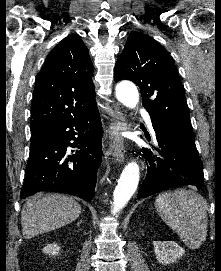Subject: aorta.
<instances>
[{
  "label": "aorta",
  "mask_w": 221,
  "mask_h": 271,
  "mask_svg": "<svg viewBox=\"0 0 221 271\" xmlns=\"http://www.w3.org/2000/svg\"><path fill=\"white\" fill-rule=\"evenodd\" d=\"M117 99L128 108H135L139 93L132 82L124 81L116 86ZM139 183V166L132 161L125 166L113 194L112 213L120 212L135 193Z\"/></svg>",
  "instance_id": "762f6f07"
}]
</instances>
